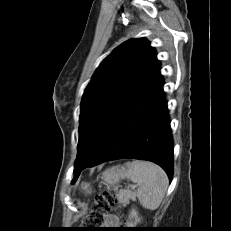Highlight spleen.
<instances>
[{
    "instance_id": "spleen-1",
    "label": "spleen",
    "mask_w": 231,
    "mask_h": 231,
    "mask_svg": "<svg viewBox=\"0 0 231 231\" xmlns=\"http://www.w3.org/2000/svg\"><path fill=\"white\" fill-rule=\"evenodd\" d=\"M119 172L122 178H128L139 186L137 197L144 208L155 210L160 206L169 184L168 177L160 166L135 160L125 164Z\"/></svg>"
}]
</instances>
